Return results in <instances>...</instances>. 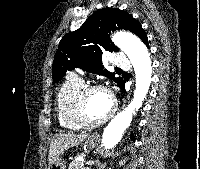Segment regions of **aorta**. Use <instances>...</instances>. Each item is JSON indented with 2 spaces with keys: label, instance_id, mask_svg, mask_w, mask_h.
Masks as SVG:
<instances>
[{
  "label": "aorta",
  "instance_id": "aorta-1",
  "mask_svg": "<svg viewBox=\"0 0 200 169\" xmlns=\"http://www.w3.org/2000/svg\"><path fill=\"white\" fill-rule=\"evenodd\" d=\"M112 41L130 59L135 72L136 88L132 101L104 129L102 143L105 149H112L121 140L124 131L131 124L133 114L146 98L152 77L150 54L137 36L120 32L112 37Z\"/></svg>",
  "mask_w": 200,
  "mask_h": 169
}]
</instances>
